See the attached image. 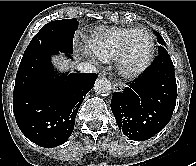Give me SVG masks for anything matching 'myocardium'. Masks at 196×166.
Instances as JSON below:
<instances>
[{"label": "myocardium", "mask_w": 196, "mask_h": 166, "mask_svg": "<svg viewBox=\"0 0 196 166\" xmlns=\"http://www.w3.org/2000/svg\"><path fill=\"white\" fill-rule=\"evenodd\" d=\"M145 32L150 40L149 50L146 57L138 64L133 65L130 61V42L133 35L137 32ZM155 55V40L153 34L144 27L132 29L127 35L122 53L117 58V70L121 76L133 79L143 74L152 64Z\"/></svg>", "instance_id": "f54148a6"}]
</instances>
